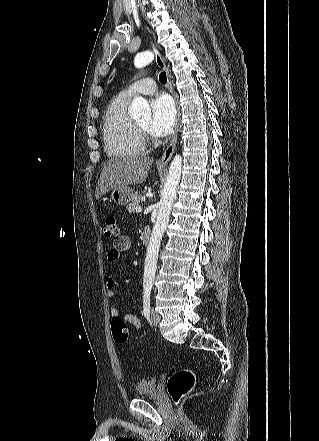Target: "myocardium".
Wrapping results in <instances>:
<instances>
[{
    "label": "myocardium",
    "instance_id": "1",
    "mask_svg": "<svg viewBox=\"0 0 319 441\" xmlns=\"http://www.w3.org/2000/svg\"><path fill=\"white\" fill-rule=\"evenodd\" d=\"M138 129L140 130L141 134L143 136L147 135V129H145L144 127H142L141 125L137 124Z\"/></svg>",
    "mask_w": 319,
    "mask_h": 441
}]
</instances>
